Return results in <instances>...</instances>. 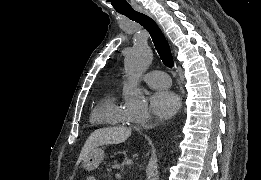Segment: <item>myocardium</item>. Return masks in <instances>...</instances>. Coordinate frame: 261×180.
<instances>
[{
    "label": "myocardium",
    "instance_id": "1",
    "mask_svg": "<svg viewBox=\"0 0 261 180\" xmlns=\"http://www.w3.org/2000/svg\"><path fill=\"white\" fill-rule=\"evenodd\" d=\"M120 122H121L123 125H131L132 123H134V120L127 118L126 115L123 114L122 117H121V119H120Z\"/></svg>",
    "mask_w": 261,
    "mask_h": 180
}]
</instances>
